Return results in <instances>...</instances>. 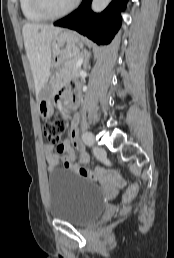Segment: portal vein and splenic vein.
<instances>
[{"label": "portal vein and splenic vein", "mask_w": 174, "mask_h": 258, "mask_svg": "<svg viewBox=\"0 0 174 258\" xmlns=\"http://www.w3.org/2000/svg\"><path fill=\"white\" fill-rule=\"evenodd\" d=\"M82 63H83V59L78 60V62L75 65V68L80 67L82 65Z\"/></svg>", "instance_id": "portal-vein-and-splenic-vein-1"}]
</instances>
